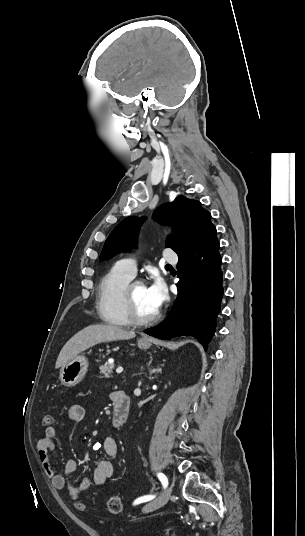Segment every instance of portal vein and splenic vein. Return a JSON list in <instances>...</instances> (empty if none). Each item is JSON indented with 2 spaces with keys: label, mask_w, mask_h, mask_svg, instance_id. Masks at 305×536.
<instances>
[{
  "label": "portal vein and splenic vein",
  "mask_w": 305,
  "mask_h": 536,
  "mask_svg": "<svg viewBox=\"0 0 305 536\" xmlns=\"http://www.w3.org/2000/svg\"><path fill=\"white\" fill-rule=\"evenodd\" d=\"M108 362H109V364H113L114 360H111V362H110V360H108ZM116 372H117V374H121V372H123V368H121V366H120V368H117Z\"/></svg>",
  "instance_id": "18ae733b"
}]
</instances>
